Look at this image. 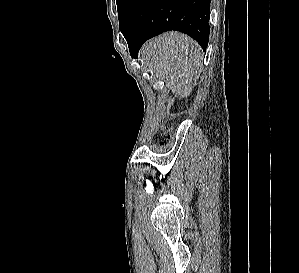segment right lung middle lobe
Instances as JSON below:
<instances>
[{"label": "right lung middle lobe", "instance_id": "obj_1", "mask_svg": "<svg viewBox=\"0 0 299 273\" xmlns=\"http://www.w3.org/2000/svg\"><path fill=\"white\" fill-rule=\"evenodd\" d=\"M116 1H117V9H118L119 27L121 30L134 0H116Z\"/></svg>", "mask_w": 299, "mask_h": 273}]
</instances>
